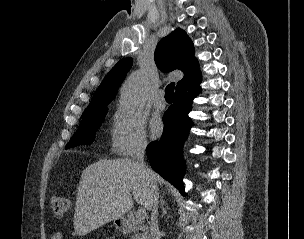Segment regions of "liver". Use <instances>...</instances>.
Wrapping results in <instances>:
<instances>
[{"mask_svg": "<svg viewBox=\"0 0 304 239\" xmlns=\"http://www.w3.org/2000/svg\"><path fill=\"white\" fill-rule=\"evenodd\" d=\"M152 173L156 184H165L163 178ZM134 200L150 210V187L133 160L103 159L89 165L82 173L76 196V234L84 236L122 218L131 210Z\"/></svg>", "mask_w": 304, "mask_h": 239, "instance_id": "6515ba94", "label": "liver"}]
</instances>
